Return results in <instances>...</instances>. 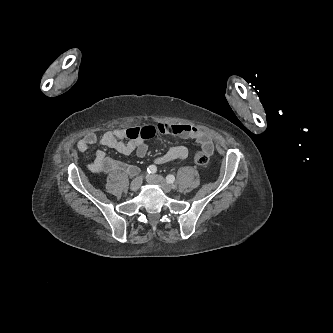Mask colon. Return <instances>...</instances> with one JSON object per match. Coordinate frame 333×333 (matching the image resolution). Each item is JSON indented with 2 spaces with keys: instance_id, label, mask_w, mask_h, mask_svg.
Listing matches in <instances>:
<instances>
[{
  "instance_id": "obj_1",
  "label": "colon",
  "mask_w": 333,
  "mask_h": 333,
  "mask_svg": "<svg viewBox=\"0 0 333 333\" xmlns=\"http://www.w3.org/2000/svg\"><path fill=\"white\" fill-rule=\"evenodd\" d=\"M194 161L198 166H206L209 163V156L203 151H198L194 156Z\"/></svg>"
}]
</instances>
